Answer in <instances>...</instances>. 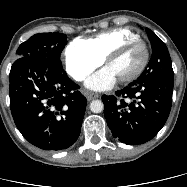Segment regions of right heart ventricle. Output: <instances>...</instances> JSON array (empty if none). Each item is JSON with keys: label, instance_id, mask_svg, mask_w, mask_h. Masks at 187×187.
Wrapping results in <instances>:
<instances>
[{"label": "right heart ventricle", "instance_id": "e07e8e85", "mask_svg": "<svg viewBox=\"0 0 187 187\" xmlns=\"http://www.w3.org/2000/svg\"><path fill=\"white\" fill-rule=\"evenodd\" d=\"M136 38H140V36L129 29L116 28L100 32L88 38L86 42L96 54L105 58L108 52L122 42Z\"/></svg>", "mask_w": 187, "mask_h": 187}]
</instances>
